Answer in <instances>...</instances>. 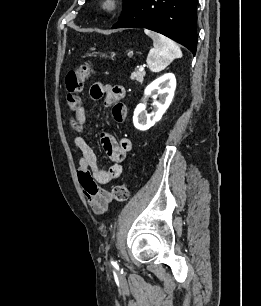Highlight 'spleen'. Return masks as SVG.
Segmentation results:
<instances>
[{"instance_id":"spleen-1","label":"spleen","mask_w":261,"mask_h":306,"mask_svg":"<svg viewBox=\"0 0 261 306\" xmlns=\"http://www.w3.org/2000/svg\"><path fill=\"white\" fill-rule=\"evenodd\" d=\"M144 32L153 40L154 47L150 50L146 60L152 72H160L174 59L182 57L179 46L168 37L149 29H145Z\"/></svg>"}]
</instances>
